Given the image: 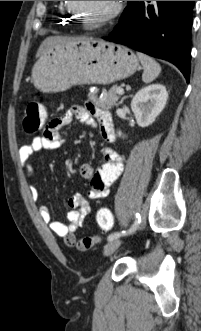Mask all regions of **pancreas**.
<instances>
[{
  "instance_id": "cf45deb5",
  "label": "pancreas",
  "mask_w": 201,
  "mask_h": 331,
  "mask_svg": "<svg viewBox=\"0 0 201 331\" xmlns=\"http://www.w3.org/2000/svg\"><path fill=\"white\" fill-rule=\"evenodd\" d=\"M117 89L118 87H112L108 92L104 93L102 98H98L97 91L89 92L88 98L103 109H111L114 105H116L120 98V96L116 93Z\"/></svg>"
}]
</instances>
